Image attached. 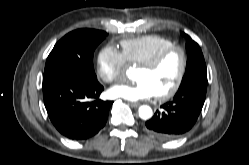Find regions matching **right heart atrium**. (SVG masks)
I'll return each instance as SVG.
<instances>
[{
  "label": "right heart atrium",
  "mask_w": 249,
  "mask_h": 165,
  "mask_svg": "<svg viewBox=\"0 0 249 165\" xmlns=\"http://www.w3.org/2000/svg\"><path fill=\"white\" fill-rule=\"evenodd\" d=\"M126 60L123 54L112 46H105L97 57V75L105 83L117 81L123 75Z\"/></svg>",
  "instance_id": "right-heart-atrium-1"
}]
</instances>
